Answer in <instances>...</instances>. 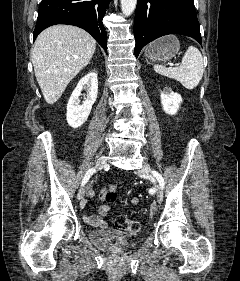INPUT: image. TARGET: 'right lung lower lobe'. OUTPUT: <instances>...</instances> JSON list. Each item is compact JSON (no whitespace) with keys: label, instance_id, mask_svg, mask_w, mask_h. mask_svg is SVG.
Masks as SVG:
<instances>
[{"label":"right lung lower lobe","instance_id":"1","mask_svg":"<svg viewBox=\"0 0 240 281\" xmlns=\"http://www.w3.org/2000/svg\"><path fill=\"white\" fill-rule=\"evenodd\" d=\"M109 2L110 0H42L33 39L49 26L68 24L86 30L107 51V33L102 19Z\"/></svg>","mask_w":240,"mask_h":281}]
</instances>
